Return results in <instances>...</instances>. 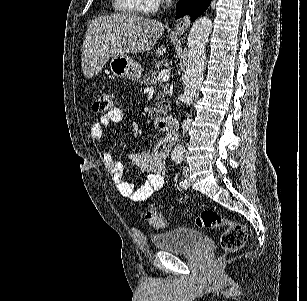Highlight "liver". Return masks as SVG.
Returning <instances> with one entry per match:
<instances>
[{"label": "liver", "mask_w": 307, "mask_h": 301, "mask_svg": "<svg viewBox=\"0 0 307 301\" xmlns=\"http://www.w3.org/2000/svg\"><path fill=\"white\" fill-rule=\"evenodd\" d=\"M164 26L158 20L135 14H106L91 20L82 48V70L92 78L102 70L110 56L151 50L162 36ZM166 52L165 44L157 48V56Z\"/></svg>", "instance_id": "liver-1"}]
</instances>
